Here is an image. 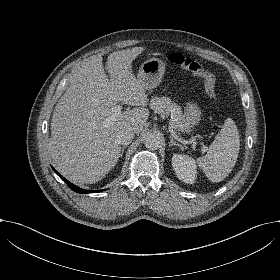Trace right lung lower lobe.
<instances>
[{
  "label": "right lung lower lobe",
  "instance_id": "right-lung-lower-lobe-1",
  "mask_svg": "<svg viewBox=\"0 0 280 280\" xmlns=\"http://www.w3.org/2000/svg\"><path fill=\"white\" fill-rule=\"evenodd\" d=\"M58 176H60L65 182L66 184L69 186V188H71L73 191L77 192V193H93V192H99V191H103V190H95V191H88V190H84V189H81L75 185H73L72 183H70L68 180H66L63 176H61L55 169H53Z\"/></svg>",
  "mask_w": 280,
  "mask_h": 280
}]
</instances>
